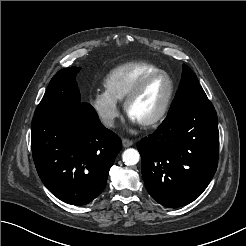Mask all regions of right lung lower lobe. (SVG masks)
<instances>
[{"mask_svg":"<svg viewBox=\"0 0 246 246\" xmlns=\"http://www.w3.org/2000/svg\"><path fill=\"white\" fill-rule=\"evenodd\" d=\"M31 146L47 189L68 204L85 205L104 190L122 144L81 102L61 116L33 118Z\"/></svg>","mask_w":246,"mask_h":246,"instance_id":"right-lung-lower-lobe-1","label":"right lung lower lobe"}]
</instances>
